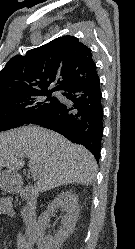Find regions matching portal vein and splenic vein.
I'll return each instance as SVG.
<instances>
[{
	"instance_id": "18ae733b",
	"label": "portal vein and splenic vein",
	"mask_w": 135,
	"mask_h": 249,
	"mask_svg": "<svg viewBox=\"0 0 135 249\" xmlns=\"http://www.w3.org/2000/svg\"><path fill=\"white\" fill-rule=\"evenodd\" d=\"M38 170V164L34 161L29 162V171L32 174L33 178H36Z\"/></svg>"
}]
</instances>
